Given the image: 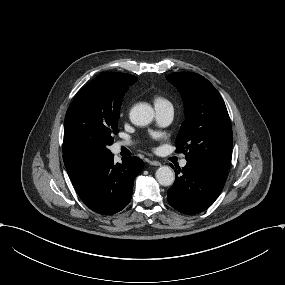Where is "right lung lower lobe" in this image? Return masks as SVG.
<instances>
[{
  "label": "right lung lower lobe",
  "instance_id": "1",
  "mask_svg": "<svg viewBox=\"0 0 285 285\" xmlns=\"http://www.w3.org/2000/svg\"><path fill=\"white\" fill-rule=\"evenodd\" d=\"M144 166L137 157L114 163L113 155L85 172L73 186L88 208L111 215L125 208L131 200L133 182Z\"/></svg>",
  "mask_w": 285,
  "mask_h": 285
}]
</instances>
